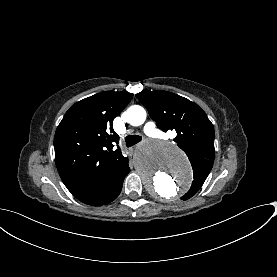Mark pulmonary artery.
Returning a JSON list of instances; mask_svg holds the SVG:
<instances>
[{
    "mask_svg": "<svg viewBox=\"0 0 277 277\" xmlns=\"http://www.w3.org/2000/svg\"><path fill=\"white\" fill-rule=\"evenodd\" d=\"M143 133L146 134L147 136L153 137L156 140H170L173 137V132L172 130L166 131L165 133H160L157 130V127L154 125L153 121H146L144 126H143Z\"/></svg>",
    "mask_w": 277,
    "mask_h": 277,
    "instance_id": "1",
    "label": "pulmonary artery"
}]
</instances>
